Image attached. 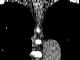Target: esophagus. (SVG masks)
Returning <instances> with one entry per match:
<instances>
[{"label": "esophagus", "mask_w": 80, "mask_h": 60, "mask_svg": "<svg viewBox=\"0 0 80 60\" xmlns=\"http://www.w3.org/2000/svg\"><path fill=\"white\" fill-rule=\"evenodd\" d=\"M34 10L37 14L38 20L40 21L42 15V6L38 2H34Z\"/></svg>", "instance_id": "1"}]
</instances>
